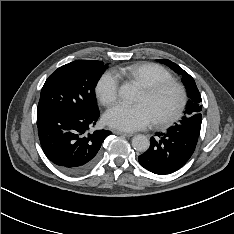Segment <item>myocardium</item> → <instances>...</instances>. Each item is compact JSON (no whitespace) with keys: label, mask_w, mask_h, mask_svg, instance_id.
<instances>
[{"label":"myocardium","mask_w":234,"mask_h":234,"mask_svg":"<svg viewBox=\"0 0 234 234\" xmlns=\"http://www.w3.org/2000/svg\"><path fill=\"white\" fill-rule=\"evenodd\" d=\"M167 89H174L177 91L178 101L174 109L168 115L154 120V124L161 127L172 124L180 117L187 102L186 91L180 83L174 80L157 82L143 88V92L147 98H153Z\"/></svg>","instance_id":"obj_1"}]
</instances>
